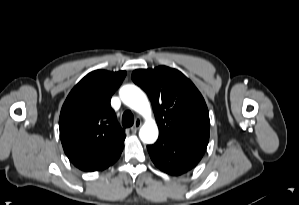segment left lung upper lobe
<instances>
[{
  "mask_svg": "<svg viewBox=\"0 0 299 205\" xmlns=\"http://www.w3.org/2000/svg\"><path fill=\"white\" fill-rule=\"evenodd\" d=\"M132 79L151 101L159 137L209 141L210 120L206 103L185 75L176 69L160 66L135 70Z\"/></svg>",
  "mask_w": 299,
  "mask_h": 205,
  "instance_id": "5c2ea615",
  "label": "left lung upper lobe"
}]
</instances>
